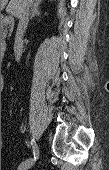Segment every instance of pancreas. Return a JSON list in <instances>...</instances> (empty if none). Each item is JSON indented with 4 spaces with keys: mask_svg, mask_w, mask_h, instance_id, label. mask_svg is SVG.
<instances>
[{
    "mask_svg": "<svg viewBox=\"0 0 109 170\" xmlns=\"http://www.w3.org/2000/svg\"><path fill=\"white\" fill-rule=\"evenodd\" d=\"M5 38H6V25L5 23H1V41L2 45L5 46Z\"/></svg>",
    "mask_w": 109,
    "mask_h": 170,
    "instance_id": "obj_1",
    "label": "pancreas"
}]
</instances>
